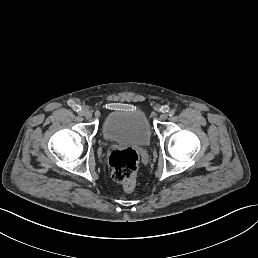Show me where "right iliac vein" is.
I'll return each mask as SVG.
<instances>
[{
    "label": "right iliac vein",
    "mask_w": 258,
    "mask_h": 258,
    "mask_svg": "<svg viewBox=\"0 0 258 258\" xmlns=\"http://www.w3.org/2000/svg\"><path fill=\"white\" fill-rule=\"evenodd\" d=\"M83 114H84L86 120H91L92 119V113H91L90 110H88V109L85 110Z\"/></svg>",
    "instance_id": "right-iliac-vein-1"
}]
</instances>
